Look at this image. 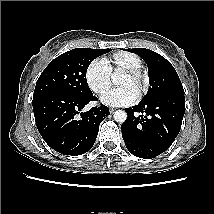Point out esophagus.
<instances>
[{
	"label": "esophagus",
	"instance_id": "obj_1",
	"mask_svg": "<svg viewBox=\"0 0 214 214\" xmlns=\"http://www.w3.org/2000/svg\"><path fill=\"white\" fill-rule=\"evenodd\" d=\"M115 111V109L111 108L110 109V113H113Z\"/></svg>",
	"mask_w": 214,
	"mask_h": 214
}]
</instances>
